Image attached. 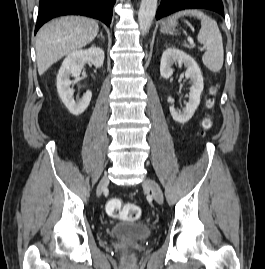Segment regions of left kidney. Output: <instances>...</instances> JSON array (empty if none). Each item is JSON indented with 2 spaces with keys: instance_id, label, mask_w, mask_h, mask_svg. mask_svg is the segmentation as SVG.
<instances>
[{
  "instance_id": "obj_1",
  "label": "left kidney",
  "mask_w": 265,
  "mask_h": 269,
  "mask_svg": "<svg viewBox=\"0 0 265 269\" xmlns=\"http://www.w3.org/2000/svg\"><path fill=\"white\" fill-rule=\"evenodd\" d=\"M174 63H178L179 66L184 64L187 68L185 77L190 79L192 83L190 87L189 101L186 104V107L182 111H178L172 106L170 107L172 118L175 121L184 124L192 118L200 104V96L204 88L203 76L198 64L190 55L177 48L170 47L163 52L161 58L160 74L163 78L168 79L171 77L173 74L172 66Z\"/></svg>"
}]
</instances>
